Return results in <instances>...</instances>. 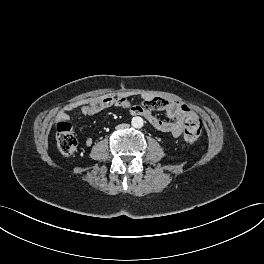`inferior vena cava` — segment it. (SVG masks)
Masks as SVG:
<instances>
[{
	"label": "inferior vena cava",
	"instance_id": "1",
	"mask_svg": "<svg viewBox=\"0 0 264 264\" xmlns=\"http://www.w3.org/2000/svg\"><path fill=\"white\" fill-rule=\"evenodd\" d=\"M128 127H129L128 124H120V125L117 126V129L121 130V129H125V128H128Z\"/></svg>",
	"mask_w": 264,
	"mask_h": 264
}]
</instances>
